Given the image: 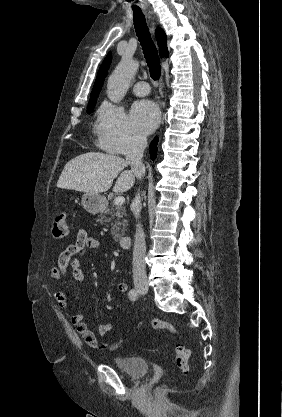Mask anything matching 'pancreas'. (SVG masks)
<instances>
[{
	"mask_svg": "<svg viewBox=\"0 0 282 417\" xmlns=\"http://www.w3.org/2000/svg\"><path fill=\"white\" fill-rule=\"evenodd\" d=\"M106 215H110V217H106ZM102 225H106V223H111V235L118 243L120 239L123 237L125 225L127 223L124 217H127L125 206L122 204H115V202H110L109 209H106L102 215H99Z\"/></svg>",
	"mask_w": 282,
	"mask_h": 417,
	"instance_id": "obj_1",
	"label": "pancreas"
}]
</instances>
